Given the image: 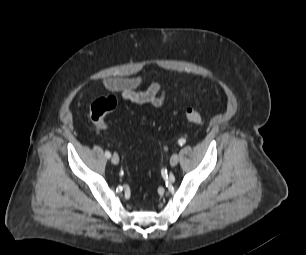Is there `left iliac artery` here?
Here are the masks:
<instances>
[{"label": "left iliac artery", "instance_id": "obj_1", "mask_svg": "<svg viewBox=\"0 0 306 255\" xmlns=\"http://www.w3.org/2000/svg\"><path fill=\"white\" fill-rule=\"evenodd\" d=\"M185 142H186V140L184 138H181V139H179L178 144L182 146V145L185 144Z\"/></svg>", "mask_w": 306, "mask_h": 255}]
</instances>
